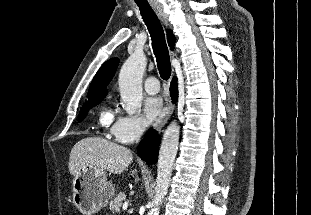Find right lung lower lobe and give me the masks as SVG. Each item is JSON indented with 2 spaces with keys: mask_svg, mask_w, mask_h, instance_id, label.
I'll return each mask as SVG.
<instances>
[{
  "mask_svg": "<svg viewBox=\"0 0 311 215\" xmlns=\"http://www.w3.org/2000/svg\"><path fill=\"white\" fill-rule=\"evenodd\" d=\"M178 85L177 78L174 77L171 82V97L172 102L175 103L176 98L178 97ZM159 141L160 138L156 131L151 130L148 134L142 139L140 144L137 146V152L139 157L147 163H156L158 158V150H159Z\"/></svg>",
  "mask_w": 311,
  "mask_h": 215,
  "instance_id": "right-lung-lower-lobe-1",
  "label": "right lung lower lobe"
}]
</instances>
